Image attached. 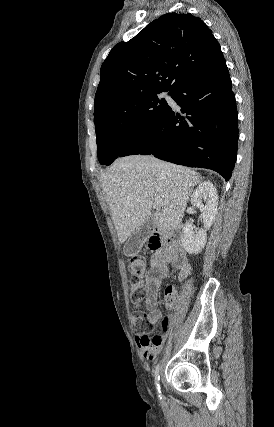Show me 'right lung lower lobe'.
<instances>
[{
  "instance_id": "98d812e1",
  "label": "right lung lower lobe",
  "mask_w": 274,
  "mask_h": 427,
  "mask_svg": "<svg viewBox=\"0 0 274 427\" xmlns=\"http://www.w3.org/2000/svg\"><path fill=\"white\" fill-rule=\"evenodd\" d=\"M180 112L164 117L120 157L153 154L189 167L212 169L230 179L237 156V110L226 64L181 85L172 93Z\"/></svg>"
}]
</instances>
